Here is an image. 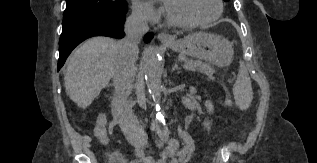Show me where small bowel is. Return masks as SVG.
<instances>
[{
    "instance_id": "c3829d8e",
    "label": "small bowel",
    "mask_w": 317,
    "mask_h": 163,
    "mask_svg": "<svg viewBox=\"0 0 317 163\" xmlns=\"http://www.w3.org/2000/svg\"><path fill=\"white\" fill-rule=\"evenodd\" d=\"M180 137L183 145L179 150L177 141L172 139L168 142L160 159L155 160L153 157L146 156L142 151L138 150L136 152V159L130 163H168V159L175 155L177 150V157L170 160L169 163H188L193 157L195 145L193 139L187 132L182 131ZM109 163H127V161L123 155L113 153L110 155Z\"/></svg>"
}]
</instances>
